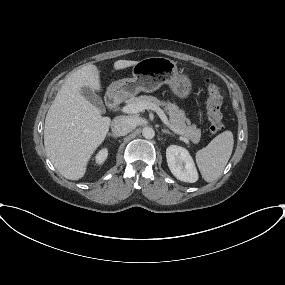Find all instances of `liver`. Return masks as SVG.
<instances>
[{
	"mask_svg": "<svg viewBox=\"0 0 285 285\" xmlns=\"http://www.w3.org/2000/svg\"><path fill=\"white\" fill-rule=\"evenodd\" d=\"M136 63L117 60L114 69L122 70ZM82 87L101 90L97 66L86 64L66 79L47 112L44 126L46 154L69 180L85 175L88 161L104 141L111 123L80 93Z\"/></svg>",
	"mask_w": 285,
	"mask_h": 285,
	"instance_id": "6515ba94",
	"label": "liver"
}]
</instances>
